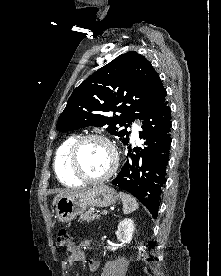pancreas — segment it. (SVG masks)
Returning <instances> with one entry per match:
<instances>
[{"label": "pancreas", "mask_w": 221, "mask_h": 276, "mask_svg": "<svg viewBox=\"0 0 221 276\" xmlns=\"http://www.w3.org/2000/svg\"><path fill=\"white\" fill-rule=\"evenodd\" d=\"M99 218H100V215L94 214L91 211L82 213L80 216V219L87 221V222H90V221H93V220L99 219Z\"/></svg>", "instance_id": "pancreas-1"}]
</instances>
